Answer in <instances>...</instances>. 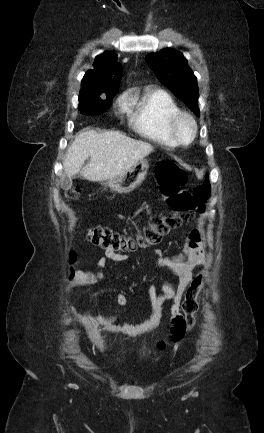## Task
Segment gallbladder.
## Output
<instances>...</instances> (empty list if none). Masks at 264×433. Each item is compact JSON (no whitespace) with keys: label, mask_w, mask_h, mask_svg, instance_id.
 <instances>
[{"label":"gallbladder","mask_w":264,"mask_h":433,"mask_svg":"<svg viewBox=\"0 0 264 433\" xmlns=\"http://www.w3.org/2000/svg\"><path fill=\"white\" fill-rule=\"evenodd\" d=\"M60 186L64 190H67V189L71 188V186H72V179L69 178V177H67V176H63L61 178Z\"/></svg>","instance_id":"obj_1"}]
</instances>
